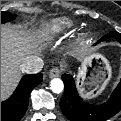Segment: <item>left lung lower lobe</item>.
Masks as SVG:
<instances>
[{
    "label": "left lung lower lobe",
    "mask_w": 121,
    "mask_h": 121,
    "mask_svg": "<svg viewBox=\"0 0 121 121\" xmlns=\"http://www.w3.org/2000/svg\"><path fill=\"white\" fill-rule=\"evenodd\" d=\"M109 38H115L121 43V34L118 32L106 34L97 43ZM62 80L65 90L60 100V107L63 114L70 120L105 121L121 110V81L107 102L102 105H93L84 102L78 95L71 75H62Z\"/></svg>",
    "instance_id": "0a47b994"
}]
</instances>
